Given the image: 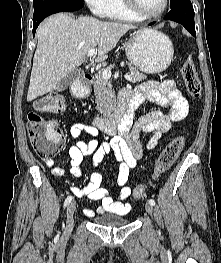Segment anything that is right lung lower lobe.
<instances>
[{
    "instance_id": "1",
    "label": "right lung lower lobe",
    "mask_w": 221,
    "mask_h": 263,
    "mask_svg": "<svg viewBox=\"0 0 221 263\" xmlns=\"http://www.w3.org/2000/svg\"><path fill=\"white\" fill-rule=\"evenodd\" d=\"M84 4H76V5H65V6H57L42 12L34 14L33 17V35H35V31L40 24L47 16L58 13V12H72L81 9Z\"/></svg>"
}]
</instances>
